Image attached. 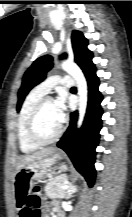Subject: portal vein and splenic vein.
Here are the masks:
<instances>
[{
  "mask_svg": "<svg viewBox=\"0 0 132 217\" xmlns=\"http://www.w3.org/2000/svg\"><path fill=\"white\" fill-rule=\"evenodd\" d=\"M63 190H67L69 189V185L65 184L63 187H62Z\"/></svg>",
  "mask_w": 132,
  "mask_h": 217,
  "instance_id": "18ae733b",
  "label": "portal vein and splenic vein"
}]
</instances>
